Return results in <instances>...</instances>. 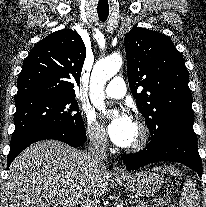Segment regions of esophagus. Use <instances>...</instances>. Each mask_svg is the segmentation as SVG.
Returning <instances> with one entry per match:
<instances>
[{
  "instance_id": "34e87169",
  "label": "esophagus",
  "mask_w": 206,
  "mask_h": 207,
  "mask_svg": "<svg viewBox=\"0 0 206 207\" xmlns=\"http://www.w3.org/2000/svg\"><path fill=\"white\" fill-rule=\"evenodd\" d=\"M112 173L114 174V175H124L125 174V171H124V169L121 167V166H119V165H117V164H115L114 166H113V168H112Z\"/></svg>"
}]
</instances>
